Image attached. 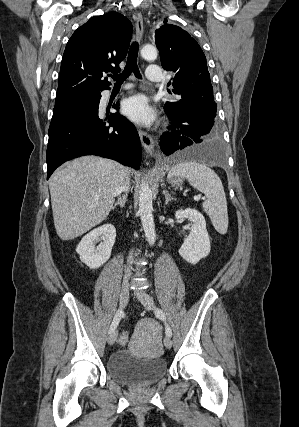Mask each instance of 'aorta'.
<instances>
[{"instance_id": "aorta-1", "label": "aorta", "mask_w": 299, "mask_h": 427, "mask_svg": "<svg viewBox=\"0 0 299 427\" xmlns=\"http://www.w3.org/2000/svg\"><path fill=\"white\" fill-rule=\"evenodd\" d=\"M141 56L147 61L157 58V49L152 45H145L141 50ZM152 191L147 182L142 181L139 190V214L145 236L152 246L156 240V231L153 218Z\"/></svg>"}]
</instances>
